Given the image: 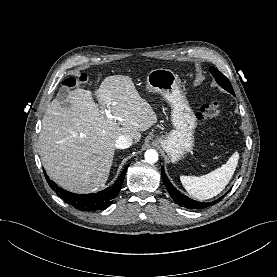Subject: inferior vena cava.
<instances>
[{"mask_svg": "<svg viewBox=\"0 0 277 277\" xmlns=\"http://www.w3.org/2000/svg\"><path fill=\"white\" fill-rule=\"evenodd\" d=\"M132 145V139L127 135H122L117 138L115 146L118 149H126Z\"/></svg>", "mask_w": 277, "mask_h": 277, "instance_id": "1", "label": "inferior vena cava"}]
</instances>
